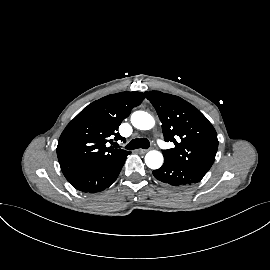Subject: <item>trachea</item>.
<instances>
[{"label":"trachea","instance_id":"trachea-1","mask_svg":"<svg viewBox=\"0 0 270 270\" xmlns=\"http://www.w3.org/2000/svg\"><path fill=\"white\" fill-rule=\"evenodd\" d=\"M150 147V142L146 138H136L130 141L129 144L126 145V149L134 150L138 148L148 149Z\"/></svg>","mask_w":270,"mask_h":270}]
</instances>
